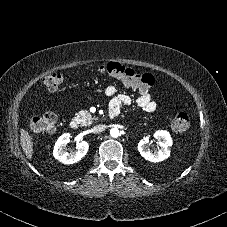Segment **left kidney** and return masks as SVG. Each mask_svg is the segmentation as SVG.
Wrapping results in <instances>:
<instances>
[{
  "label": "left kidney",
  "instance_id": "5707ae66",
  "mask_svg": "<svg viewBox=\"0 0 227 227\" xmlns=\"http://www.w3.org/2000/svg\"><path fill=\"white\" fill-rule=\"evenodd\" d=\"M153 137L158 141L161 149L158 152L152 153L149 149V137H144L138 143V151L140 152L141 156L144 157L146 160L151 162H161L167 159L170 156V147L172 146V138L170 133L165 130L156 131Z\"/></svg>",
  "mask_w": 227,
  "mask_h": 227
}]
</instances>
